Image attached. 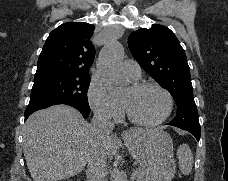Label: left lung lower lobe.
Returning a JSON list of instances; mask_svg holds the SVG:
<instances>
[{
    "label": "left lung lower lobe",
    "instance_id": "obj_1",
    "mask_svg": "<svg viewBox=\"0 0 228 181\" xmlns=\"http://www.w3.org/2000/svg\"><path fill=\"white\" fill-rule=\"evenodd\" d=\"M185 130L192 133L196 137V139L199 141V139H200V128L190 127V128L185 129Z\"/></svg>",
    "mask_w": 228,
    "mask_h": 181
}]
</instances>
